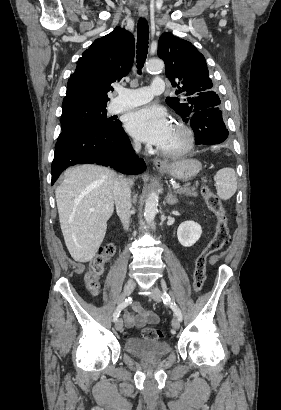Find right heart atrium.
<instances>
[{"label": "right heart atrium", "mask_w": 281, "mask_h": 410, "mask_svg": "<svg viewBox=\"0 0 281 410\" xmlns=\"http://www.w3.org/2000/svg\"><path fill=\"white\" fill-rule=\"evenodd\" d=\"M134 146H135L136 148H138V147H139V144H138L137 142H135V143H134Z\"/></svg>", "instance_id": "d8ad5b80"}]
</instances>
